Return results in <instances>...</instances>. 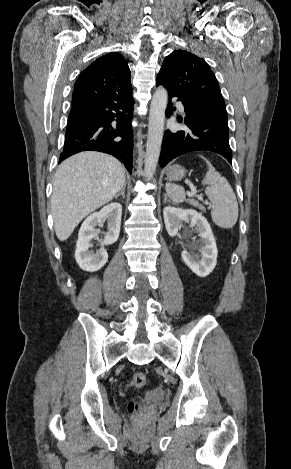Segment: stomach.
I'll use <instances>...</instances> for the list:
<instances>
[{
	"mask_svg": "<svg viewBox=\"0 0 291 469\" xmlns=\"http://www.w3.org/2000/svg\"><path fill=\"white\" fill-rule=\"evenodd\" d=\"M166 175L170 180L179 181L184 177L185 170L182 166L175 164L167 168Z\"/></svg>",
	"mask_w": 291,
	"mask_h": 469,
	"instance_id": "obj_1",
	"label": "stomach"
}]
</instances>
